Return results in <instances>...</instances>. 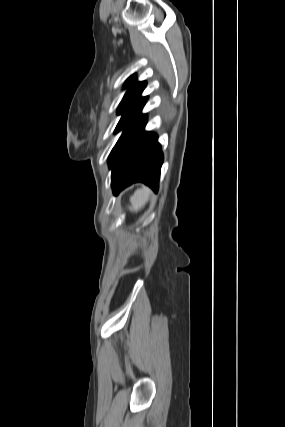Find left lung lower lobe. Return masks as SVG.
Instances as JSON below:
<instances>
[{"instance_id":"1","label":"left lung lower lobe","mask_w":285,"mask_h":427,"mask_svg":"<svg viewBox=\"0 0 285 427\" xmlns=\"http://www.w3.org/2000/svg\"><path fill=\"white\" fill-rule=\"evenodd\" d=\"M146 122V115H141L118 140L108 158L114 194L138 181L158 190L163 154L157 136L144 131Z\"/></svg>"}]
</instances>
